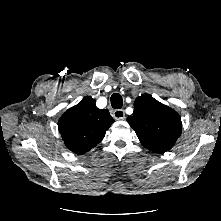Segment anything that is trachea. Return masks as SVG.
<instances>
[{"label": "trachea", "mask_w": 221, "mask_h": 221, "mask_svg": "<svg viewBox=\"0 0 221 221\" xmlns=\"http://www.w3.org/2000/svg\"><path fill=\"white\" fill-rule=\"evenodd\" d=\"M110 101L114 109H121L123 106V98L119 93L112 94Z\"/></svg>", "instance_id": "obj_1"}]
</instances>
